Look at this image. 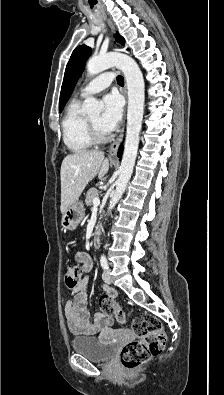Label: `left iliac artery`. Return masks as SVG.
I'll return each mask as SVG.
<instances>
[{"label":"left iliac artery","mask_w":224,"mask_h":395,"mask_svg":"<svg viewBox=\"0 0 224 395\" xmlns=\"http://www.w3.org/2000/svg\"><path fill=\"white\" fill-rule=\"evenodd\" d=\"M100 264L103 269H105V270L108 269V261H107L106 256L104 254L101 255V257H100Z\"/></svg>","instance_id":"44dca946"}]
</instances>
